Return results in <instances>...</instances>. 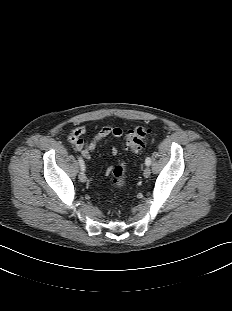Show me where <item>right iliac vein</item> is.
Wrapping results in <instances>:
<instances>
[{
	"label": "right iliac vein",
	"mask_w": 232,
	"mask_h": 311,
	"mask_svg": "<svg viewBox=\"0 0 232 311\" xmlns=\"http://www.w3.org/2000/svg\"><path fill=\"white\" fill-rule=\"evenodd\" d=\"M79 179H80L81 182H86L87 181V177H86L84 172H80Z\"/></svg>",
	"instance_id": "right-iliac-vein-1"
}]
</instances>
